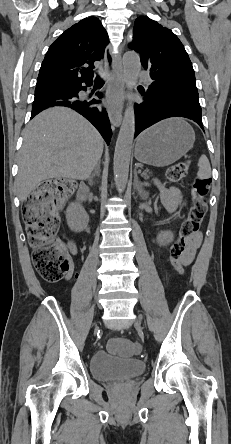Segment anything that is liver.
<instances>
[{
    "mask_svg": "<svg viewBox=\"0 0 231 444\" xmlns=\"http://www.w3.org/2000/svg\"><path fill=\"white\" fill-rule=\"evenodd\" d=\"M103 147L99 132L72 109L44 110L23 131L16 179L20 201L44 180L88 178Z\"/></svg>",
    "mask_w": 231,
    "mask_h": 444,
    "instance_id": "liver-1",
    "label": "liver"
}]
</instances>
